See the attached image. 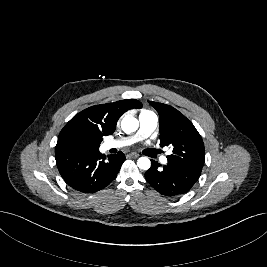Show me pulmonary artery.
<instances>
[{
	"label": "pulmonary artery",
	"mask_w": 267,
	"mask_h": 267,
	"mask_svg": "<svg viewBox=\"0 0 267 267\" xmlns=\"http://www.w3.org/2000/svg\"><path fill=\"white\" fill-rule=\"evenodd\" d=\"M139 122H140V128L135 135L119 140L106 141L103 143L102 148L104 150H109L112 148H120L128 146L138 140L150 136L158 126V117L156 116L155 113L150 111L141 113L139 116ZM167 161L168 160L165 156L161 158V163L166 164Z\"/></svg>",
	"instance_id": "pulmonary-artery-1"
}]
</instances>
